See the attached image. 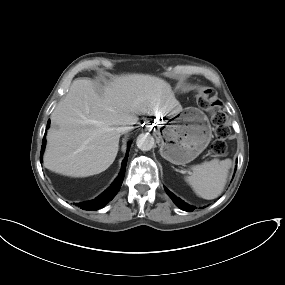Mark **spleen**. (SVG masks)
Wrapping results in <instances>:
<instances>
[{"mask_svg":"<svg viewBox=\"0 0 285 285\" xmlns=\"http://www.w3.org/2000/svg\"><path fill=\"white\" fill-rule=\"evenodd\" d=\"M232 161L230 159L204 162L191 168L186 181L201 198L211 200L218 197L227 182Z\"/></svg>","mask_w":285,"mask_h":285,"instance_id":"obj_1","label":"spleen"}]
</instances>
